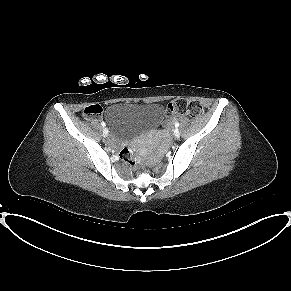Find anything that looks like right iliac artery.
Returning <instances> with one entry per match:
<instances>
[{
	"label": "right iliac artery",
	"mask_w": 291,
	"mask_h": 291,
	"mask_svg": "<svg viewBox=\"0 0 291 291\" xmlns=\"http://www.w3.org/2000/svg\"><path fill=\"white\" fill-rule=\"evenodd\" d=\"M101 125L104 127V126H105V123H104V122H102V123H101Z\"/></svg>",
	"instance_id": "1"
}]
</instances>
